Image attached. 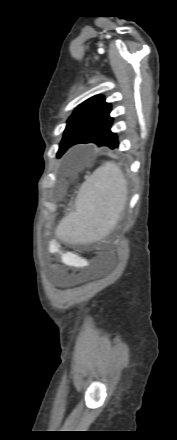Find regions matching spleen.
Segmentation results:
<instances>
[{
    "mask_svg": "<svg viewBox=\"0 0 177 440\" xmlns=\"http://www.w3.org/2000/svg\"><path fill=\"white\" fill-rule=\"evenodd\" d=\"M127 198V183L112 162L99 167L82 185L76 211L62 219L56 235L65 242H92L106 236L117 224Z\"/></svg>",
    "mask_w": 177,
    "mask_h": 440,
    "instance_id": "spleen-1",
    "label": "spleen"
}]
</instances>
